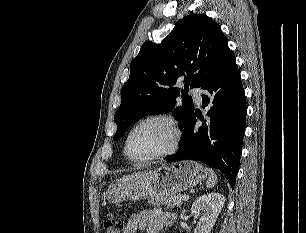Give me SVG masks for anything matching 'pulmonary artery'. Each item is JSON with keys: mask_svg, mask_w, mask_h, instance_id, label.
I'll list each match as a JSON object with an SVG mask.
<instances>
[{"mask_svg": "<svg viewBox=\"0 0 306 233\" xmlns=\"http://www.w3.org/2000/svg\"><path fill=\"white\" fill-rule=\"evenodd\" d=\"M191 93L195 96L197 103H201L203 90L201 88H193Z\"/></svg>", "mask_w": 306, "mask_h": 233, "instance_id": "obj_1", "label": "pulmonary artery"}]
</instances>
